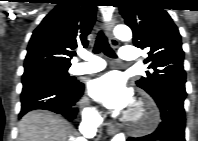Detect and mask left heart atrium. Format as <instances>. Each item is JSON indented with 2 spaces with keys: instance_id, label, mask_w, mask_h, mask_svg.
<instances>
[{
  "instance_id": "left-heart-atrium-1",
  "label": "left heart atrium",
  "mask_w": 198,
  "mask_h": 141,
  "mask_svg": "<svg viewBox=\"0 0 198 141\" xmlns=\"http://www.w3.org/2000/svg\"><path fill=\"white\" fill-rule=\"evenodd\" d=\"M90 95L113 110H123L132 104V93L119 73L103 75L89 86Z\"/></svg>"
}]
</instances>
